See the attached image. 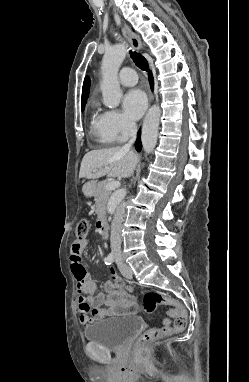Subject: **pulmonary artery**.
<instances>
[{"label": "pulmonary artery", "mask_w": 249, "mask_h": 382, "mask_svg": "<svg viewBox=\"0 0 249 382\" xmlns=\"http://www.w3.org/2000/svg\"><path fill=\"white\" fill-rule=\"evenodd\" d=\"M118 80L124 86H133L137 83L138 78L136 72L132 68L125 67L119 72Z\"/></svg>", "instance_id": "e3ab8cb5"}]
</instances>
